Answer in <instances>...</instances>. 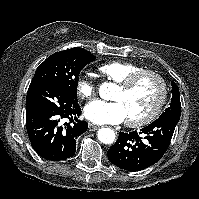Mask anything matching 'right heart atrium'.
Segmentation results:
<instances>
[{
    "instance_id": "d8ad5b80",
    "label": "right heart atrium",
    "mask_w": 199,
    "mask_h": 199,
    "mask_svg": "<svg viewBox=\"0 0 199 199\" xmlns=\"http://www.w3.org/2000/svg\"><path fill=\"white\" fill-rule=\"evenodd\" d=\"M96 91L94 82L86 77H79L76 82V92L81 99H91Z\"/></svg>"
}]
</instances>
